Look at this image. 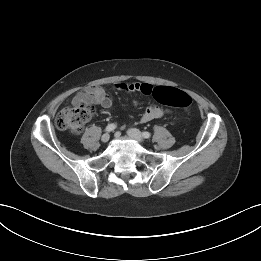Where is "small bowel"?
I'll return each mask as SVG.
<instances>
[{
    "mask_svg": "<svg viewBox=\"0 0 261 261\" xmlns=\"http://www.w3.org/2000/svg\"><path fill=\"white\" fill-rule=\"evenodd\" d=\"M115 88L119 91L124 92H140L146 95H149L153 92L154 88L151 84L134 82V83H124L119 82L115 85ZM87 102H95L100 104L105 109L113 108V101L108 92L100 86L89 87L80 92H78L72 99V103L75 105ZM135 104H137L135 102ZM168 111L160 108L156 105H151L145 109L143 112L140 121L142 123L149 122L151 120L162 117Z\"/></svg>",
    "mask_w": 261,
    "mask_h": 261,
    "instance_id": "obj_1",
    "label": "small bowel"
}]
</instances>
